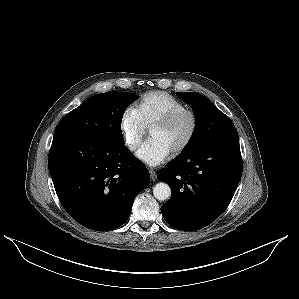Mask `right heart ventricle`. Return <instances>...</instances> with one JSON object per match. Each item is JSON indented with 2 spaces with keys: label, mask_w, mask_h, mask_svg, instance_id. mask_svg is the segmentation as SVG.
Instances as JSON below:
<instances>
[{
  "label": "right heart ventricle",
  "mask_w": 299,
  "mask_h": 299,
  "mask_svg": "<svg viewBox=\"0 0 299 299\" xmlns=\"http://www.w3.org/2000/svg\"><path fill=\"white\" fill-rule=\"evenodd\" d=\"M135 109L145 127L150 128L156 122L187 108L184 103L171 94L163 91H153L143 95Z\"/></svg>",
  "instance_id": "1"
}]
</instances>
